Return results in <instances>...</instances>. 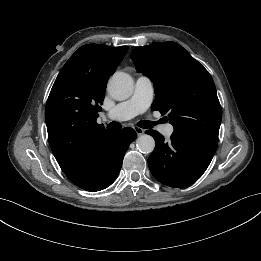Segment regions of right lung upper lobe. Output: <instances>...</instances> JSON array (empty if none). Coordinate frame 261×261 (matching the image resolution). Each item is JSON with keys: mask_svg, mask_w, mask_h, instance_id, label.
<instances>
[{"mask_svg": "<svg viewBox=\"0 0 261 261\" xmlns=\"http://www.w3.org/2000/svg\"><path fill=\"white\" fill-rule=\"evenodd\" d=\"M128 46L89 44L66 62L49 94L45 121L52 152L67 177L79 171L110 132L96 122L109 76Z\"/></svg>", "mask_w": 261, "mask_h": 261, "instance_id": "1", "label": "right lung upper lobe"}]
</instances>
